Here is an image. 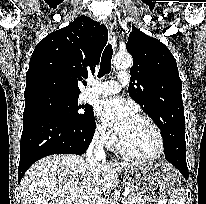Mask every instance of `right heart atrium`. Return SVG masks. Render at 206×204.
<instances>
[{"label":"right heart atrium","instance_id":"d8ad5b80","mask_svg":"<svg viewBox=\"0 0 206 204\" xmlns=\"http://www.w3.org/2000/svg\"><path fill=\"white\" fill-rule=\"evenodd\" d=\"M94 136L98 142L108 148L114 146L116 140L111 131L101 122H98L95 127Z\"/></svg>","mask_w":206,"mask_h":204}]
</instances>
